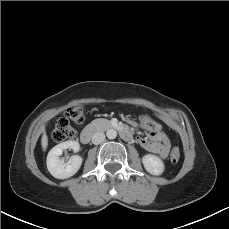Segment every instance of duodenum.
<instances>
[{"instance_id":"1","label":"duodenum","mask_w":229,"mask_h":229,"mask_svg":"<svg viewBox=\"0 0 229 229\" xmlns=\"http://www.w3.org/2000/svg\"><path fill=\"white\" fill-rule=\"evenodd\" d=\"M111 129H119L120 136L125 140L131 139V133L125 127H120L117 123L110 124L109 126ZM97 133V127L94 125L86 126L80 135V140L82 143L87 144L90 142L92 137Z\"/></svg>"}]
</instances>
